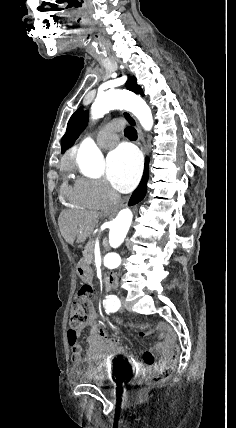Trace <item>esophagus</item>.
I'll return each mask as SVG.
<instances>
[{
    "instance_id": "esophagus-1",
    "label": "esophagus",
    "mask_w": 236,
    "mask_h": 428,
    "mask_svg": "<svg viewBox=\"0 0 236 428\" xmlns=\"http://www.w3.org/2000/svg\"><path fill=\"white\" fill-rule=\"evenodd\" d=\"M122 115L124 117V119L132 126L135 128V130L137 131L138 137L140 140L144 141V137H143V132L141 130L140 125L138 124L137 120L135 119V117L130 113V112H126L123 111Z\"/></svg>"
}]
</instances>
